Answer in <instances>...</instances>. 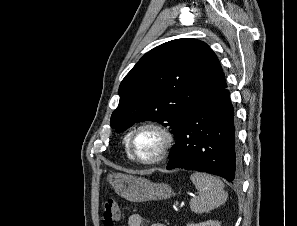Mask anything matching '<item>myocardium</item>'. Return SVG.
<instances>
[{
	"mask_svg": "<svg viewBox=\"0 0 297 226\" xmlns=\"http://www.w3.org/2000/svg\"><path fill=\"white\" fill-rule=\"evenodd\" d=\"M145 129H151L156 131L160 135L162 140L161 145L156 151L155 155L147 159L139 157L134 149V139L136 135L140 131ZM173 144H174V135L171 132V130L164 124L158 121H151V120L141 122L137 124L135 127H133L130 133L128 134V137L126 140L127 150L130 156L132 157V159L137 163L145 166H152L162 162L167 157Z\"/></svg>",
	"mask_w": 297,
	"mask_h": 226,
	"instance_id": "myocardium-1",
	"label": "myocardium"
}]
</instances>
